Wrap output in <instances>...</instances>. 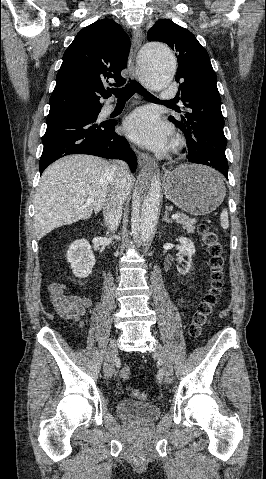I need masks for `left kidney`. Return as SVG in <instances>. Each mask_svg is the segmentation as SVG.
<instances>
[{"label": "left kidney", "instance_id": "obj_1", "mask_svg": "<svg viewBox=\"0 0 266 479\" xmlns=\"http://www.w3.org/2000/svg\"><path fill=\"white\" fill-rule=\"evenodd\" d=\"M179 242H180V247L178 248L179 253L191 259L196 252L193 242L186 237H180ZM190 268H191V264H188L187 267H184V268H180L179 266H177L178 272L182 275H186L189 272Z\"/></svg>", "mask_w": 266, "mask_h": 479}]
</instances>
